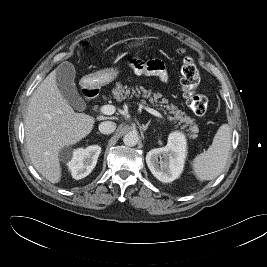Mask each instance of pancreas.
Listing matches in <instances>:
<instances>
[{
	"mask_svg": "<svg viewBox=\"0 0 267 267\" xmlns=\"http://www.w3.org/2000/svg\"><path fill=\"white\" fill-rule=\"evenodd\" d=\"M113 97L118 101L121 102L128 98L129 96L132 97L133 95L137 98L142 96L143 98L149 99V102L157 107L159 109H165L166 111H169L170 114L173 116L171 117L174 121H179V123H183L182 128H188L187 131L188 136L190 138H196L197 133L199 131L198 126L195 124L194 120L191 119L189 116L185 115L184 112L180 111L176 106L173 104L169 105L168 100L166 98H162L161 100H158L162 97L161 93H154L152 95L150 90H146L144 87L136 86L128 88L127 86H123L120 82L116 83V87L112 90ZM142 102L145 104L146 101L142 100Z\"/></svg>",
	"mask_w": 267,
	"mask_h": 267,
	"instance_id": "cf45deb5",
	"label": "pancreas"
}]
</instances>
